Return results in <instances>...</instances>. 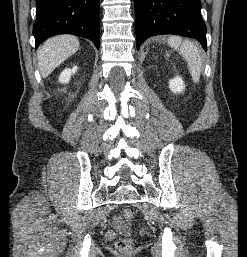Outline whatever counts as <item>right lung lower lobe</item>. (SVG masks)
<instances>
[{
	"label": "right lung lower lobe",
	"instance_id": "right-lung-lower-lobe-1",
	"mask_svg": "<svg viewBox=\"0 0 247 257\" xmlns=\"http://www.w3.org/2000/svg\"><path fill=\"white\" fill-rule=\"evenodd\" d=\"M33 26L36 48L57 34L90 39L99 49V0H37Z\"/></svg>",
	"mask_w": 247,
	"mask_h": 257
}]
</instances>
